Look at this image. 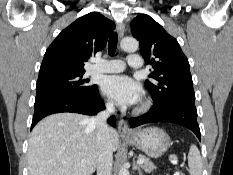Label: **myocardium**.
Instances as JSON below:
<instances>
[{
	"label": "myocardium",
	"mask_w": 233,
	"mask_h": 175,
	"mask_svg": "<svg viewBox=\"0 0 233 175\" xmlns=\"http://www.w3.org/2000/svg\"><path fill=\"white\" fill-rule=\"evenodd\" d=\"M148 105H149L148 102H144V103L140 106L139 110H144V109H146V108L148 107Z\"/></svg>",
	"instance_id": "obj_1"
}]
</instances>
